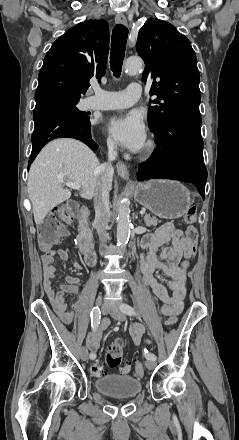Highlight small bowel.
I'll return each mask as SVG.
<instances>
[{
    "mask_svg": "<svg viewBox=\"0 0 239 440\" xmlns=\"http://www.w3.org/2000/svg\"><path fill=\"white\" fill-rule=\"evenodd\" d=\"M142 249L146 252L141 257V272L143 283L149 286L157 298L164 305L161 312L164 315H178L184 304L187 284V271L190 259L195 254L193 244L186 234L172 223L160 226L155 233L147 234L142 239ZM43 265V285L55 311L61 320L69 324L73 319V311L68 310L65 293L75 294L78 292L81 282L72 276L65 277V284L59 289L54 288L53 279L56 277L57 268L54 265L55 256L62 260L69 258L70 251L67 248H41ZM74 267L82 270L80 262L75 261ZM163 272L167 279H161L155 275L156 272ZM109 325L108 319H103L96 330H92L87 338V347L96 351L101 342L103 332ZM144 327L141 324H134L130 328V335L136 345L141 343Z\"/></svg>",
    "mask_w": 239,
    "mask_h": 440,
    "instance_id": "small-bowel-1",
    "label": "small bowel"
}]
</instances>
